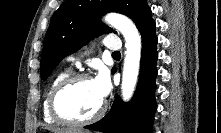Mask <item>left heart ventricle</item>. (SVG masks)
Listing matches in <instances>:
<instances>
[{
	"instance_id": "left-heart-ventricle-1",
	"label": "left heart ventricle",
	"mask_w": 221,
	"mask_h": 133,
	"mask_svg": "<svg viewBox=\"0 0 221 133\" xmlns=\"http://www.w3.org/2000/svg\"><path fill=\"white\" fill-rule=\"evenodd\" d=\"M102 101L93 81L83 80L63 91L58 98L57 105L65 116L84 119L95 113Z\"/></svg>"
}]
</instances>
